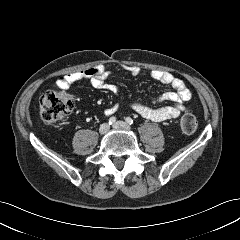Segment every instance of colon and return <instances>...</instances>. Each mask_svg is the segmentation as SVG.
Returning a JSON list of instances; mask_svg holds the SVG:
<instances>
[{
  "mask_svg": "<svg viewBox=\"0 0 240 240\" xmlns=\"http://www.w3.org/2000/svg\"><path fill=\"white\" fill-rule=\"evenodd\" d=\"M74 99L71 94L61 90L47 91L39 104L40 120L45 125H54L63 121L73 110ZM183 132L191 134L197 129V119L192 114H185L180 120Z\"/></svg>",
  "mask_w": 240,
  "mask_h": 240,
  "instance_id": "obj_1",
  "label": "colon"
}]
</instances>
